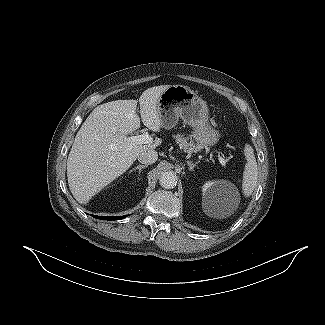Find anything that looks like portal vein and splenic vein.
<instances>
[{
    "label": "portal vein and splenic vein",
    "instance_id": "1",
    "mask_svg": "<svg viewBox=\"0 0 325 325\" xmlns=\"http://www.w3.org/2000/svg\"><path fill=\"white\" fill-rule=\"evenodd\" d=\"M128 142L131 144H151L153 142V138L147 133H143L142 135L131 136L128 137ZM219 162L222 166L226 165V161L220 155H217Z\"/></svg>",
    "mask_w": 325,
    "mask_h": 325
}]
</instances>
